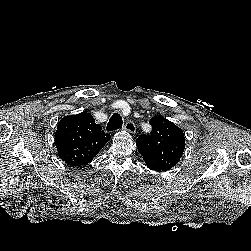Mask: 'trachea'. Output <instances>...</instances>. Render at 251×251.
<instances>
[{
    "instance_id": "3493384b",
    "label": "trachea",
    "mask_w": 251,
    "mask_h": 251,
    "mask_svg": "<svg viewBox=\"0 0 251 251\" xmlns=\"http://www.w3.org/2000/svg\"><path fill=\"white\" fill-rule=\"evenodd\" d=\"M122 123H123V121H122V117L120 116V114L114 113L107 124L106 130L107 131H115V130L122 127Z\"/></svg>"
}]
</instances>
